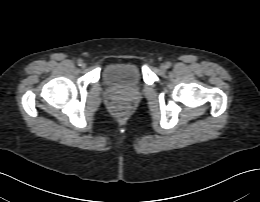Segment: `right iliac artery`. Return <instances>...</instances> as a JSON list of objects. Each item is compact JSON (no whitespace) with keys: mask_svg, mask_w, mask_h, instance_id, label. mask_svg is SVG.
<instances>
[{"mask_svg":"<svg viewBox=\"0 0 260 202\" xmlns=\"http://www.w3.org/2000/svg\"><path fill=\"white\" fill-rule=\"evenodd\" d=\"M82 60L81 59H79L78 61H77V64L79 65V66H81L82 65Z\"/></svg>","mask_w":260,"mask_h":202,"instance_id":"obj_1","label":"right iliac artery"}]
</instances>
